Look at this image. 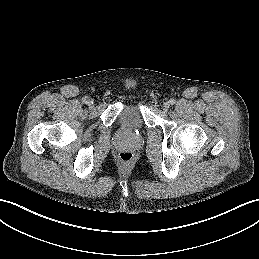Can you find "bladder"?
Instances as JSON below:
<instances>
[{
	"label": "bladder",
	"mask_w": 259,
	"mask_h": 259,
	"mask_svg": "<svg viewBox=\"0 0 259 259\" xmlns=\"http://www.w3.org/2000/svg\"><path fill=\"white\" fill-rule=\"evenodd\" d=\"M123 124L129 126H141L143 118L141 111L137 105H128L120 115Z\"/></svg>",
	"instance_id": "31cf9c89"
}]
</instances>
